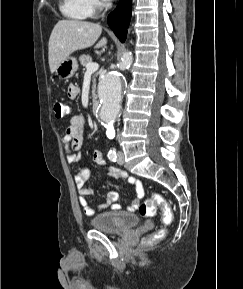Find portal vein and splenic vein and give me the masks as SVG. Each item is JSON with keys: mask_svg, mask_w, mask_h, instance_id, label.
I'll use <instances>...</instances> for the list:
<instances>
[{"mask_svg": "<svg viewBox=\"0 0 243 289\" xmlns=\"http://www.w3.org/2000/svg\"><path fill=\"white\" fill-rule=\"evenodd\" d=\"M98 68H99L98 63H88L86 66V72L87 73H93V72L97 71Z\"/></svg>", "mask_w": 243, "mask_h": 289, "instance_id": "1", "label": "portal vein and splenic vein"}]
</instances>
